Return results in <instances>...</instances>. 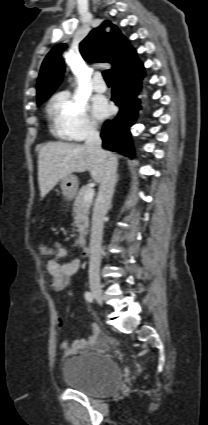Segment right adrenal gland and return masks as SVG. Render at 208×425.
<instances>
[{
    "label": "right adrenal gland",
    "mask_w": 208,
    "mask_h": 425,
    "mask_svg": "<svg viewBox=\"0 0 208 425\" xmlns=\"http://www.w3.org/2000/svg\"><path fill=\"white\" fill-rule=\"evenodd\" d=\"M118 180H119V175L117 174V176H116V182H118Z\"/></svg>",
    "instance_id": "2a0ac1e0"
}]
</instances>
